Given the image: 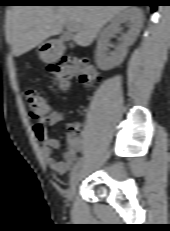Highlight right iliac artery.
<instances>
[{
	"mask_svg": "<svg viewBox=\"0 0 170 231\" xmlns=\"http://www.w3.org/2000/svg\"><path fill=\"white\" fill-rule=\"evenodd\" d=\"M79 169V163H77L71 170L70 176L73 177L74 174L77 172V170Z\"/></svg>",
	"mask_w": 170,
	"mask_h": 231,
	"instance_id": "obj_1",
	"label": "right iliac artery"
}]
</instances>
